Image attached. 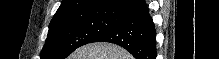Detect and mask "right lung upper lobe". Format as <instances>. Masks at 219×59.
<instances>
[{"instance_id": "obj_1", "label": "right lung upper lobe", "mask_w": 219, "mask_h": 59, "mask_svg": "<svg viewBox=\"0 0 219 59\" xmlns=\"http://www.w3.org/2000/svg\"><path fill=\"white\" fill-rule=\"evenodd\" d=\"M124 0H62L53 19L92 10H112Z\"/></svg>"}]
</instances>
